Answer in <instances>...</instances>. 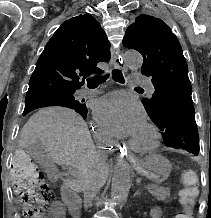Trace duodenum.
<instances>
[{
  "instance_id": "410a0bca",
  "label": "duodenum",
  "mask_w": 211,
  "mask_h": 218,
  "mask_svg": "<svg viewBox=\"0 0 211 218\" xmlns=\"http://www.w3.org/2000/svg\"><path fill=\"white\" fill-rule=\"evenodd\" d=\"M62 198L73 218H80V202L75 192L68 186L62 187Z\"/></svg>"
}]
</instances>
